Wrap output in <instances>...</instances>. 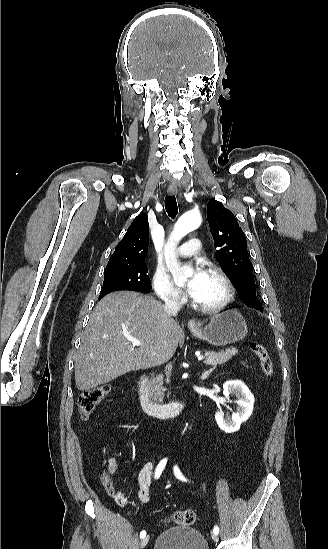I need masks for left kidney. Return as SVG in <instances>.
<instances>
[{
    "instance_id": "obj_1",
    "label": "left kidney",
    "mask_w": 328,
    "mask_h": 549,
    "mask_svg": "<svg viewBox=\"0 0 328 549\" xmlns=\"http://www.w3.org/2000/svg\"><path fill=\"white\" fill-rule=\"evenodd\" d=\"M223 395L225 399H229V395H236L237 411L232 417H226V419L221 411H217L216 423L221 431L236 433L241 423H245L253 411L254 395L242 381H226L223 385Z\"/></svg>"
}]
</instances>
